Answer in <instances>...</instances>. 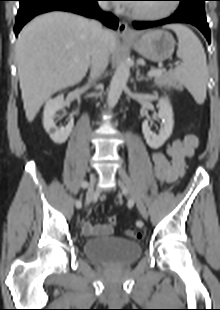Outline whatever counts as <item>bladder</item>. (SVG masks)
<instances>
[{
	"instance_id": "obj_1",
	"label": "bladder",
	"mask_w": 220,
	"mask_h": 310,
	"mask_svg": "<svg viewBox=\"0 0 220 310\" xmlns=\"http://www.w3.org/2000/svg\"><path fill=\"white\" fill-rule=\"evenodd\" d=\"M82 246L87 258L107 266L130 265L142 252L141 244L120 237L89 239Z\"/></svg>"
}]
</instances>
